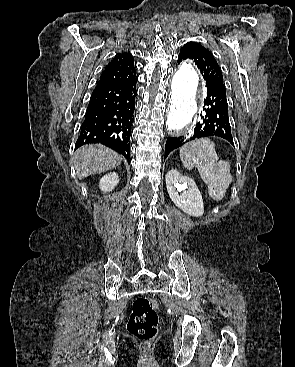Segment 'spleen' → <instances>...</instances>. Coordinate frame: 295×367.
I'll return each instance as SVG.
<instances>
[{"mask_svg": "<svg viewBox=\"0 0 295 367\" xmlns=\"http://www.w3.org/2000/svg\"><path fill=\"white\" fill-rule=\"evenodd\" d=\"M180 159L186 169L199 170L213 200L220 201L225 197L232 182L230 164L225 160L218 161L214 142L209 138L188 142L180 148Z\"/></svg>", "mask_w": 295, "mask_h": 367, "instance_id": "3e777b00", "label": "spleen"}]
</instances>
